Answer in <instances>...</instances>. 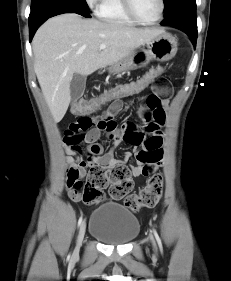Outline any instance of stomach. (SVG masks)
<instances>
[{
  "mask_svg": "<svg viewBox=\"0 0 231 281\" xmlns=\"http://www.w3.org/2000/svg\"><path fill=\"white\" fill-rule=\"evenodd\" d=\"M177 52V41L170 34L164 32L149 42L142 48L134 50L132 53L111 65L109 71L123 72L145 67L151 60L168 61Z\"/></svg>",
  "mask_w": 231,
  "mask_h": 281,
  "instance_id": "obj_1",
  "label": "stomach"
}]
</instances>
